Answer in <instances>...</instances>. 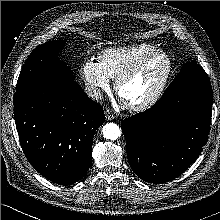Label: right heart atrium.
Masks as SVG:
<instances>
[{"label": "right heart atrium", "instance_id": "obj_1", "mask_svg": "<svg viewBox=\"0 0 220 220\" xmlns=\"http://www.w3.org/2000/svg\"><path fill=\"white\" fill-rule=\"evenodd\" d=\"M81 73L92 96L99 97L102 91L108 90L110 78L98 61L86 60L82 65Z\"/></svg>", "mask_w": 220, "mask_h": 220}]
</instances>
